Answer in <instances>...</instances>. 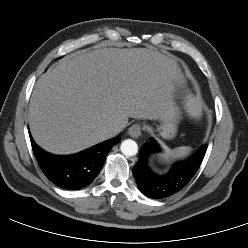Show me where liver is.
<instances>
[{
  "instance_id": "6515ba94",
  "label": "liver",
  "mask_w": 248,
  "mask_h": 248,
  "mask_svg": "<svg viewBox=\"0 0 248 248\" xmlns=\"http://www.w3.org/2000/svg\"><path fill=\"white\" fill-rule=\"evenodd\" d=\"M177 65L146 48H104L61 59L37 81L29 105L35 142L54 154L111 138L128 117L161 120L173 109Z\"/></svg>"
}]
</instances>
